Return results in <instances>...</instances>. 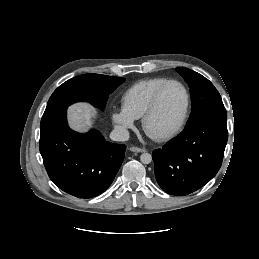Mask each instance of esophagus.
I'll return each mask as SVG.
<instances>
[{
  "label": "esophagus",
  "instance_id": "1",
  "mask_svg": "<svg viewBox=\"0 0 259 259\" xmlns=\"http://www.w3.org/2000/svg\"><path fill=\"white\" fill-rule=\"evenodd\" d=\"M130 151L140 153V152H146V149L132 146L130 147Z\"/></svg>",
  "mask_w": 259,
  "mask_h": 259
}]
</instances>
